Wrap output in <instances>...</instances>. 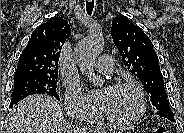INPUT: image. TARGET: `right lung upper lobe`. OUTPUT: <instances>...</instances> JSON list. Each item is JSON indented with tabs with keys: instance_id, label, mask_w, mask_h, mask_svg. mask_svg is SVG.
Here are the masks:
<instances>
[{
	"instance_id": "1",
	"label": "right lung upper lobe",
	"mask_w": 184,
	"mask_h": 133,
	"mask_svg": "<svg viewBox=\"0 0 184 133\" xmlns=\"http://www.w3.org/2000/svg\"><path fill=\"white\" fill-rule=\"evenodd\" d=\"M70 34L62 17H52L37 27L20 55L14 78L58 76L60 51Z\"/></svg>"
}]
</instances>
